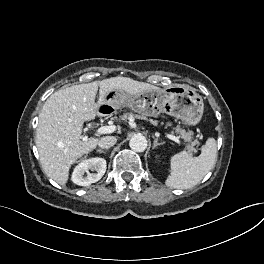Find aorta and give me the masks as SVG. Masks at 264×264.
Here are the masks:
<instances>
[{
	"label": "aorta",
	"instance_id": "762f6f07",
	"mask_svg": "<svg viewBox=\"0 0 264 264\" xmlns=\"http://www.w3.org/2000/svg\"><path fill=\"white\" fill-rule=\"evenodd\" d=\"M129 146L132 150L136 152H143L147 148V140L145 136L141 134H136L131 137Z\"/></svg>",
	"mask_w": 264,
	"mask_h": 264
}]
</instances>
